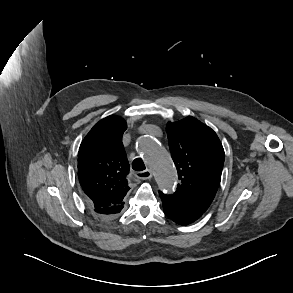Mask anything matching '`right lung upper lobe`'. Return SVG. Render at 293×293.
I'll return each mask as SVG.
<instances>
[{"label": "right lung upper lobe", "mask_w": 293, "mask_h": 293, "mask_svg": "<svg viewBox=\"0 0 293 293\" xmlns=\"http://www.w3.org/2000/svg\"><path fill=\"white\" fill-rule=\"evenodd\" d=\"M124 119L108 116L82 141L78 152V177L90 208L122 206L129 191V165L122 145Z\"/></svg>", "instance_id": "right-lung-upper-lobe-1"}]
</instances>
